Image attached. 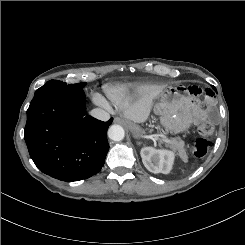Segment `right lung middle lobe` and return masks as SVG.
Wrapping results in <instances>:
<instances>
[{
	"mask_svg": "<svg viewBox=\"0 0 245 245\" xmlns=\"http://www.w3.org/2000/svg\"><path fill=\"white\" fill-rule=\"evenodd\" d=\"M86 85L85 82L77 83V84H67L65 82H61L58 80H50L46 82L42 87L36 90L35 94L46 89V88H62V87H70V88H77V89H83V87Z\"/></svg>",
	"mask_w": 245,
	"mask_h": 245,
	"instance_id": "1",
	"label": "right lung middle lobe"
}]
</instances>
